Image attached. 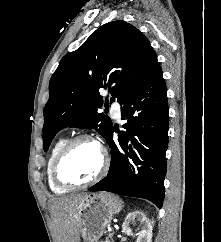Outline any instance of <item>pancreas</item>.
<instances>
[{
  "label": "pancreas",
  "mask_w": 221,
  "mask_h": 242,
  "mask_svg": "<svg viewBox=\"0 0 221 242\" xmlns=\"http://www.w3.org/2000/svg\"><path fill=\"white\" fill-rule=\"evenodd\" d=\"M100 242H103V241H100ZM104 242H113V241H110L109 240V236L106 238V241H104Z\"/></svg>",
  "instance_id": "cf45deb5"
}]
</instances>
